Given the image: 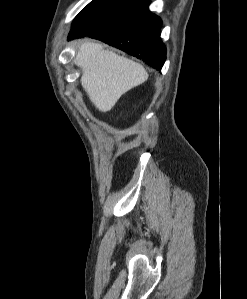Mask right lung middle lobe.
<instances>
[{
  "instance_id": "obj_1",
  "label": "right lung middle lobe",
  "mask_w": 247,
  "mask_h": 299,
  "mask_svg": "<svg viewBox=\"0 0 247 299\" xmlns=\"http://www.w3.org/2000/svg\"><path fill=\"white\" fill-rule=\"evenodd\" d=\"M137 0H93L74 19L69 37L87 35L121 18Z\"/></svg>"
}]
</instances>
